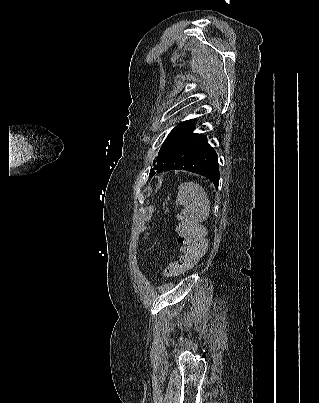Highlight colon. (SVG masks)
I'll use <instances>...</instances> for the list:
<instances>
[{"instance_id": "5ec220e1", "label": "colon", "mask_w": 319, "mask_h": 403, "mask_svg": "<svg viewBox=\"0 0 319 403\" xmlns=\"http://www.w3.org/2000/svg\"><path fill=\"white\" fill-rule=\"evenodd\" d=\"M178 242L181 244L176 261L165 271L164 275L171 276L190 268L207 249L203 229L192 220L184 219L177 227ZM146 242L151 240L149 235L144 237Z\"/></svg>"}]
</instances>
